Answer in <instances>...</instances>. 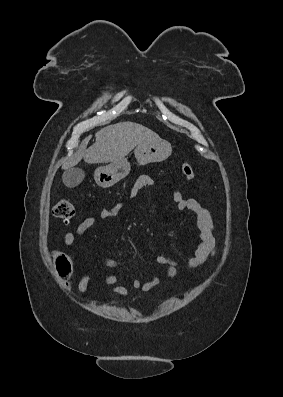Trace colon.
Listing matches in <instances>:
<instances>
[{"instance_id":"colon-1","label":"colon","mask_w":283,"mask_h":397,"mask_svg":"<svg viewBox=\"0 0 283 397\" xmlns=\"http://www.w3.org/2000/svg\"><path fill=\"white\" fill-rule=\"evenodd\" d=\"M181 172L188 181L193 180L195 177L193 167L189 163H182ZM53 213L55 217L67 222L74 217L75 208L70 200L62 199L54 206ZM53 260L59 276L64 284L68 286L74 271L71 256L62 251H56L53 255Z\"/></svg>"}]
</instances>
